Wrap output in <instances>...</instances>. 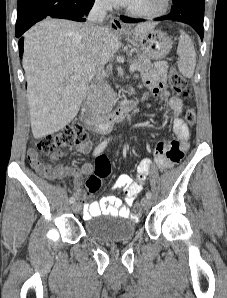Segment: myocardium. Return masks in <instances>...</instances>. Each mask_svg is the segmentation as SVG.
Returning a JSON list of instances; mask_svg holds the SVG:
<instances>
[{
  "label": "myocardium",
  "mask_w": 227,
  "mask_h": 298,
  "mask_svg": "<svg viewBox=\"0 0 227 298\" xmlns=\"http://www.w3.org/2000/svg\"><path fill=\"white\" fill-rule=\"evenodd\" d=\"M169 3L170 0H161L160 6L153 11H140V10H135L130 7L126 9V12L133 17L136 18H143V19H154V18H159L163 15H165L169 9Z\"/></svg>",
  "instance_id": "f54148a6"
}]
</instances>
